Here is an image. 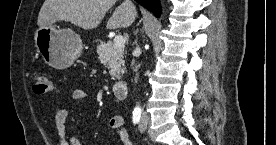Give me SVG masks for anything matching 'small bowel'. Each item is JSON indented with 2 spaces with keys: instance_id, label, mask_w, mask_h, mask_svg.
Masks as SVG:
<instances>
[{
  "instance_id": "small-bowel-1",
  "label": "small bowel",
  "mask_w": 276,
  "mask_h": 145,
  "mask_svg": "<svg viewBox=\"0 0 276 145\" xmlns=\"http://www.w3.org/2000/svg\"><path fill=\"white\" fill-rule=\"evenodd\" d=\"M73 98L77 102H85L88 99V93L85 90L76 89L73 92ZM67 117L68 111L66 106L63 104H58L55 107V128L58 144L83 145L81 140L69 131ZM109 125L114 130L122 145H132L128 133L124 127V120L121 116H113L109 121Z\"/></svg>"
}]
</instances>
